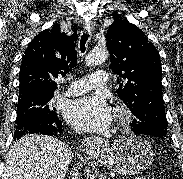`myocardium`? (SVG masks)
Listing matches in <instances>:
<instances>
[{"instance_id": "1", "label": "myocardium", "mask_w": 183, "mask_h": 179, "mask_svg": "<svg viewBox=\"0 0 183 179\" xmlns=\"http://www.w3.org/2000/svg\"><path fill=\"white\" fill-rule=\"evenodd\" d=\"M132 120V113L129 108L123 104H117L113 108V127L115 129L126 127Z\"/></svg>"}]
</instances>
